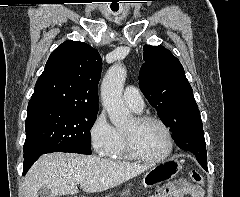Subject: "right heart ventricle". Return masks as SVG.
Masks as SVG:
<instances>
[{
    "label": "right heart ventricle",
    "instance_id": "1",
    "mask_svg": "<svg viewBox=\"0 0 240 197\" xmlns=\"http://www.w3.org/2000/svg\"><path fill=\"white\" fill-rule=\"evenodd\" d=\"M117 141L112 153L109 155L114 160H133L134 158L129 154L125 145L123 131L116 129Z\"/></svg>",
    "mask_w": 240,
    "mask_h": 197
}]
</instances>
